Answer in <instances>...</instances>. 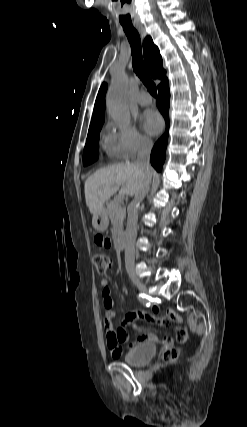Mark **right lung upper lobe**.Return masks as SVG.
<instances>
[{
  "label": "right lung upper lobe",
  "mask_w": 247,
  "mask_h": 427,
  "mask_svg": "<svg viewBox=\"0 0 247 427\" xmlns=\"http://www.w3.org/2000/svg\"><path fill=\"white\" fill-rule=\"evenodd\" d=\"M144 60L147 69L154 79H161L162 82L167 80L166 71L163 69L162 57L159 49L154 45L152 38L147 36L143 43ZM161 82V83H162ZM107 90V84L103 83L99 89L90 128H94L104 122V98Z\"/></svg>",
  "instance_id": "1"
}]
</instances>
